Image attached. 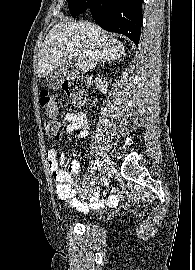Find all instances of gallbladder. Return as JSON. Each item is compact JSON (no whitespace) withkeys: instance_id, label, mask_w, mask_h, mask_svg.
<instances>
[{"instance_id":"1","label":"gallbladder","mask_w":195,"mask_h":270,"mask_svg":"<svg viewBox=\"0 0 195 270\" xmlns=\"http://www.w3.org/2000/svg\"><path fill=\"white\" fill-rule=\"evenodd\" d=\"M73 75L71 63H63L59 65L54 71L46 78L47 86L50 89H59L61 83Z\"/></svg>"}]
</instances>
